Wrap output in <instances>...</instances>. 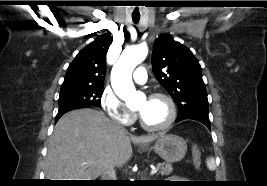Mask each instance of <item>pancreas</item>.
Listing matches in <instances>:
<instances>
[{
  "label": "pancreas",
  "mask_w": 267,
  "mask_h": 186,
  "mask_svg": "<svg viewBox=\"0 0 267 186\" xmlns=\"http://www.w3.org/2000/svg\"><path fill=\"white\" fill-rule=\"evenodd\" d=\"M157 167L159 169V174L161 175H169L173 171V168L169 163H158Z\"/></svg>",
  "instance_id": "cf45deb5"
}]
</instances>
